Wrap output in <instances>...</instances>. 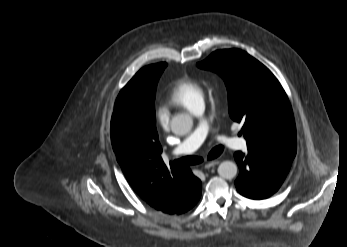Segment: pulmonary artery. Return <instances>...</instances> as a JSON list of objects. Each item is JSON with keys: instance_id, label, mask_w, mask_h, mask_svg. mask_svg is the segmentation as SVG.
<instances>
[{"instance_id": "obj_1", "label": "pulmonary artery", "mask_w": 347, "mask_h": 247, "mask_svg": "<svg viewBox=\"0 0 347 247\" xmlns=\"http://www.w3.org/2000/svg\"><path fill=\"white\" fill-rule=\"evenodd\" d=\"M192 113L196 116H202V114L204 113V102H198L194 106ZM206 136L207 127L206 124L202 122L191 134H189L183 140V142L174 150L173 154L184 155L193 153L202 145ZM219 141L231 149L243 150L247 147V141L242 137L222 136L219 138Z\"/></svg>"}]
</instances>
